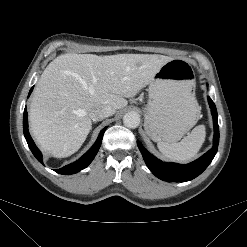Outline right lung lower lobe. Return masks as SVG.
Wrapping results in <instances>:
<instances>
[{
  "mask_svg": "<svg viewBox=\"0 0 247 247\" xmlns=\"http://www.w3.org/2000/svg\"><path fill=\"white\" fill-rule=\"evenodd\" d=\"M33 87L31 88L30 93L32 92ZM28 95V96H29ZM107 129V127L103 128L98 136L97 141L94 143V145L77 161H75L72 164H69L67 166H64L60 169L55 170L57 173L59 174H65V175H70V174H75L81 170H83L84 168H86L94 159L95 155L97 154L101 142H102V138H103V134L105 132V130ZM23 131H24V136L25 139L28 143V146L30 148V150L32 151L33 155L36 157V159L42 162V154L41 152L38 150V148L35 146L29 131H28V121H27V111L26 108L24 110V116H23Z\"/></svg>",
  "mask_w": 247,
  "mask_h": 247,
  "instance_id": "right-lung-lower-lobe-1",
  "label": "right lung lower lobe"
}]
</instances>
